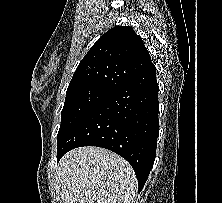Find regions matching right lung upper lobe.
I'll return each mask as SVG.
<instances>
[{
  "mask_svg": "<svg viewBox=\"0 0 222 203\" xmlns=\"http://www.w3.org/2000/svg\"><path fill=\"white\" fill-rule=\"evenodd\" d=\"M151 64L149 52L133 28L116 26L81 60L67 90L97 87L114 91Z\"/></svg>",
  "mask_w": 222,
  "mask_h": 203,
  "instance_id": "1",
  "label": "right lung upper lobe"
}]
</instances>
